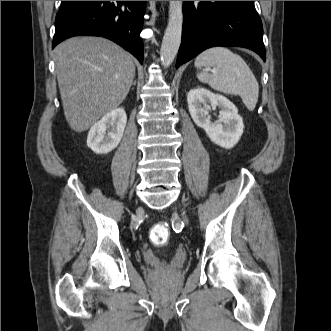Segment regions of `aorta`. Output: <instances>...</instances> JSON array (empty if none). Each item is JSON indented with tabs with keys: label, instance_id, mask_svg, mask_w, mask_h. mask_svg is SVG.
Instances as JSON below:
<instances>
[{
	"label": "aorta",
	"instance_id": "aorta-1",
	"mask_svg": "<svg viewBox=\"0 0 331 331\" xmlns=\"http://www.w3.org/2000/svg\"><path fill=\"white\" fill-rule=\"evenodd\" d=\"M183 26L182 1H169V20L160 49V60L164 67L174 61L181 43Z\"/></svg>",
	"mask_w": 331,
	"mask_h": 331
}]
</instances>
